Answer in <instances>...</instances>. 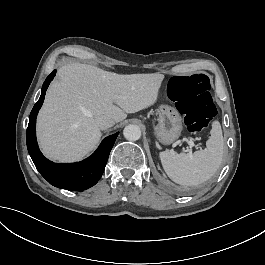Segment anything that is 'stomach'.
<instances>
[{
  "label": "stomach",
  "instance_id": "obj_1",
  "mask_svg": "<svg viewBox=\"0 0 265 265\" xmlns=\"http://www.w3.org/2000/svg\"><path fill=\"white\" fill-rule=\"evenodd\" d=\"M158 124L155 126V136L162 144H171L179 138L182 131V117L176 108L161 105L157 110Z\"/></svg>",
  "mask_w": 265,
  "mask_h": 265
}]
</instances>
